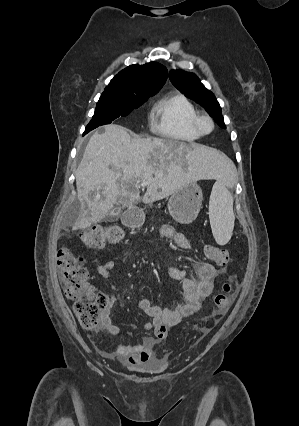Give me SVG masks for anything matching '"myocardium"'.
I'll use <instances>...</instances> for the list:
<instances>
[{"mask_svg": "<svg viewBox=\"0 0 299 426\" xmlns=\"http://www.w3.org/2000/svg\"><path fill=\"white\" fill-rule=\"evenodd\" d=\"M204 123L209 124V129L204 128ZM194 128L200 135H208L212 133L215 129V122L213 118L206 113L197 114L193 122Z\"/></svg>", "mask_w": 299, "mask_h": 426, "instance_id": "obj_1", "label": "myocardium"}]
</instances>
